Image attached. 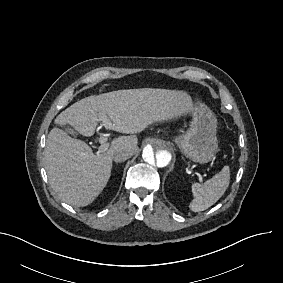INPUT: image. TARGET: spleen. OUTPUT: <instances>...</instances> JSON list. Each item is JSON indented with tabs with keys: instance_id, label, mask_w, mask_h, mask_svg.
I'll use <instances>...</instances> for the list:
<instances>
[{
	"instance_id": "spleen-1",
	"label": "spleen",
	"mask_w": 283,
	"mask_h": 283,
	"mask_svg": "<svg viewBox=\"0 0 283 283\" xmlns=\"http://www.w3.org/2000/svg\"><path fill=\"white\" fill-rule=\"evenodd\" d=\"M229 183V166H224L219 173L203 184L194 183L192 185L194 199L190 203L189 208L194 212L208 209L223 196L229 186Z\"/></svg>"
}]
</instances>
